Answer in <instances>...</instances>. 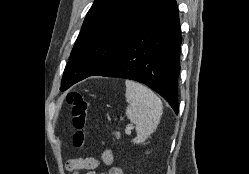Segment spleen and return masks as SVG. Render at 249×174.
I'll return each instance as SVG.
<instances>
[{"label": "spleen", "instance_id": "3e777b00", "mask_svg": "<svg viewBox=\"0 0 249 174\" xmlns=\"http://www.w3.org/2000/svg\"><path fill=\"white\" fill-rule=\"evenodd\" d=\"M126 115L136 125L137 137L133 143H143L157 128L163 105L159 97L144 85L126 80Z\"/></svg>", "mask_w": 249, "mask_h": 174}]
</instances>
